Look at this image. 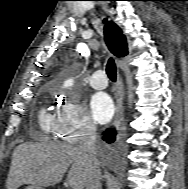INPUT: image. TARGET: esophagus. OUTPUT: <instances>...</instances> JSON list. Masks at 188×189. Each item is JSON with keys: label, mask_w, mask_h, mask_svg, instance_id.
I'll list each match as a JSON object with an SVG mask.
<instances>
[{"label": "esophagus", "mask_w": 188, "mask_h": 189, "mask_svg": "<svg viewBox=\"0 0 188 189\" xmlns=\"http://www.w3.org/2000/svg\"><path fill=\"white\" fill-rule=\"evenodd\" d=\"M118 84L119 86L121 85L120 75H118ZM122 116H123V111H122L121 87H119L116 95V113L114 116L113 125L118 126L119 123L121 122Z\"/></svg>", "instance_id": "obj_1"}]
</instances>
